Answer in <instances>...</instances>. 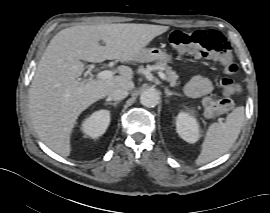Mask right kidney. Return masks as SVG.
<instances>
[{
	"instance_id": "ca27d5eb",
	"label": "right kidney",
	"mask_w": 270,
	"mask_h": 213,
	"mask_svg": "<svg viewBox=\"0 0 270 213\" xmlns=\"http://www.w3.org/2000/svg\"><path fill=\"white\" fill-rule=\"evenodd\" d=\"M110 123V111L99 110L94 112L82 123V131L91 138H97L104 134Z\"/></svg>"
}]
</instances>
